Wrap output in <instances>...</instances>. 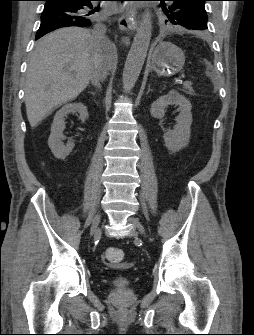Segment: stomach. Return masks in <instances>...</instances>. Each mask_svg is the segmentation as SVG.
Returning <instances> with one entry per match:
<instances>
[{"label":"stomach","instance_id":"1","mask_svg":"<svg viewBox=\"0 0 254 335\" xmlns=\"http://www.w3.org/2000/svg\"><path fill=\"white\" fill-rule=\"evenodd\" d=\"M185 63L183 51L171 42H160L152 51L151 66L159 76H170L179 72Z\"/></svg>","mask_w":254,"mask_h":335}]
</instances>
